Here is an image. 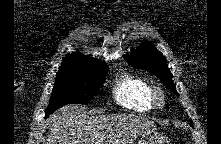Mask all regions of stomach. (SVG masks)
<instances>
[{
  "label": "stomach",
  "instance_id": "1",
  "mask_svg": "<svg viewBox=\"0 0 221 144\" xmlns=\"http://www.w3.org/2000/svg\"><path fill=\"white\" fill-rule=\"evenodd\" d=\"M168 143L167 138L157 131L145 132L138 144H165Z\"/></svg>",
  "mask_w": 221,
  "mask_h": 144
}]
</instances>
